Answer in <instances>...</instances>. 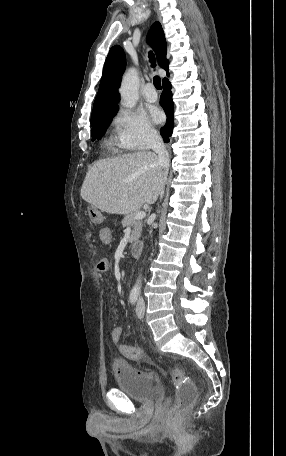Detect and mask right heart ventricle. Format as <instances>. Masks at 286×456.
Masks as SVG:
<instances>
[{"instance_id": "e07e8e85", "label": "right heart ventricle", "mask_w": 286, "mask_h": 456, "mask_svg": "<svg viewBox=\"0 0 286 456\" xmlns=\"http://www.w3.org/2000/svg\"><path fill=\"white\" fill-rule=\"evenodd\" d=\"M105 147L111 152L124 151L125 148L117 139L116 136H111L105 140Z\"/></svg>"}]
</instances>
